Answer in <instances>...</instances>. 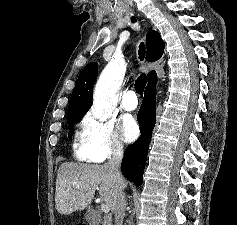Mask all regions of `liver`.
<instances>
[{"label": "liver", "mask_w": 237, "mask_h": 225, "mask_svg": "<svg viewBox=\"0 0 237 225\" xmlns=\"http://www.w3.org/2000/svg\"><path fill=\"white\" fill-rule=\"evenodd\" d=\"M99 186V187H98ZM127 182L124 180V188ZM99 190L101 198L113 212L117 186L107 165L65 162L57 173L55 207L63 215L84 210Z\"/></svg>", "instance_id": "6515ba94"}]
</instances>
